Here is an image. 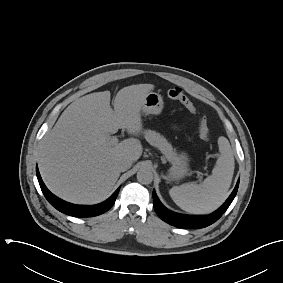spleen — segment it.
<instances>
[{
	"label": "spleen",
	"instance_id": "3e777b00",
	"mask_svg": "<svg viewBox=\"0 0 283 283\" xmlns=\"http://www.w3.org/2000/svg\"><path fill=\"white\" fill-rule=\"evenodd\" d=\"M220 156L208 176L201 184L174 186L169 194L182 210L194 214H208L216 210L227 198L235 162L227 138H218Z\"/></svg>",
	"mask_w": 283,
	"mask_h": 283
}]
</instances>
